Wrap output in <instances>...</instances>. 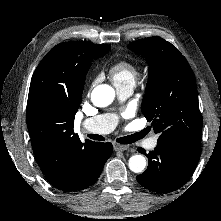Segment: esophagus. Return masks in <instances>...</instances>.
<instances>
[{
    "label": "esophagus",
    "mask_w": 221,
    "mask_h": 221,
    "mask_svg": "<svg viewBox=\"0 0 221 221\" xmlns=\"http://www.w3.org/2000/svg\"><path fill=\"white\" fill-rule=\"evenodd\" d=\"M114 150L115 151H125L129 148L128 145H122V144H118V143H114Z\"/></svg>",
    "instance_id": "1"
}]
</instances>
